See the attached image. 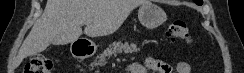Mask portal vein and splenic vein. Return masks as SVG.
<instances>
[{
  "label": "portal vein and splenic vein",
  "mask_w": 244,
  "mask_h": 73,
  "mask_svg": "<svg viewBox=\"0 0 244 73\" xmlns=\"http://www.w3.org/2000/svg\"><path fill=\"white\" fill-rule=\"evenodd\" d=\"M92 21H93L92 19H87V20L84 22V24H86V25L91 24Z\"/></svg>",
  "instance_id": "obj_1"
}]
</instances>
